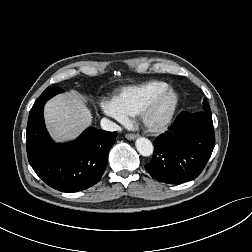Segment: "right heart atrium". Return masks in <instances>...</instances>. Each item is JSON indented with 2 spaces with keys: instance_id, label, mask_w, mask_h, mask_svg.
<instances>
[{
  "instance_id": "right-heart-atrium-1",
  "label": "right heart atrium",
  "mask_w": 252,
  "mask_h": 252,
  "mask_svg": "<svg viewBox=\"0 0 252 252\" xmlns=\"http://www.w3.org/2000/svg\"><path fill=\"white\" fill-rule=\"evenodd\" d=\"M103 111L117 120L120 123H126L128 121L127 115H125L115 104L114 102L103 101L101 103Z\"/></svg>"
}]
</instances>
